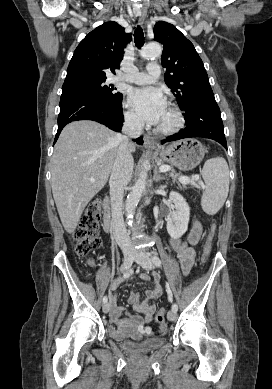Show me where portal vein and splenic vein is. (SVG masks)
Returning a JSON list of instances; mask_svg holds the SVG:
<instances>
[{
	"mask_svg": "<svg viewBox=\"0 0 272 389\" xmlns=\"http://www.w3.org/2000/svg\"><path fill=\"white\" fill-rule=\"evenodd\" d=\"M170 170V167L169 166H167V165H162V166H160L159 167V171L160 172H167V171H169ZM193 179L195 180V181H197V180H199V176L198 175H195L194 177H193ZM92 182H94V180H91ZM179 181L181 182V183H183V184H186V183H190L191 182V180L188 178V177H184V176H181L180 178H179ZM199 185H201L202 187H204V183L203 182H199Z\"/></svg>",
	"mask_w": 272,
	"mask_h": 389,
	"instance_id": "obj_1",
	"label": "portal vein and splenic vein"
}]
</instances>
